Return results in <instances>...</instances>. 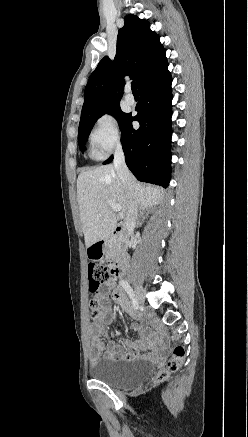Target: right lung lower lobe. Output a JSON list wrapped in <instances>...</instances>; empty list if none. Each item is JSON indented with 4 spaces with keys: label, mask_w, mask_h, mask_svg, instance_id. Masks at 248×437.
<instances>
[{
    "label": "right lung lower lobe",
    "mask_w": 248,
    "mask_h": 437,
    "mask_svg": "<svg viewBox=\"0 0 248 437\" xmlns=\"http://www.w3.org/2000/svg\"><path fill=\"white\" fill-rule=\"evenodd\" d=\"M172 78L164 61L139 86L140 101L121 133V143L128 168L143 182L166 188L171 177ZM140 123L135 130L132 121ZM113 160L111 156L103 164Z\"/></svg>",
    "instance_id": "right-lung-lower-lobe-1"
}]
</instances>
